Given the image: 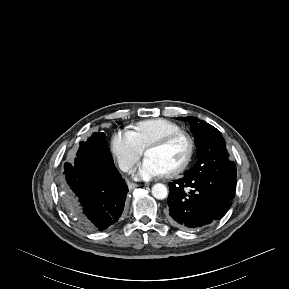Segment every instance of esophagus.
I'll use <instances>...</instances> for the list:
<instances>
[{"instance_id":"1","label":"esophagus","mask_w":289,"mask_h":289,"mask_svg":"<svg viewBox=\"0 0 289 289\" xmlns=\"http://www.w3.org/2000/svg\"><path fill=\"white\" fill-rule=\"evenodd\" d=\"M140 186L139 184H136V183H129V189L130 190H133L134 188Z\"/></svg>"}]
</instances>
